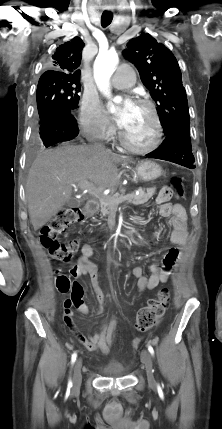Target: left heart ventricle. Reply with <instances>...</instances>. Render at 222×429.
<instances>
[{
    "mask_svg": "<svg viewBox=\"0 0 222 429\" xmlns=\"http://www.w3.org/2000/svg\"><path fill=\"white\" fill-rule=\"evenodd\" d=\"M123 131L134 145L146 146L151 143L154 136V126L148 109L135 103Z\"/></svg>",
    "mask_w": 222,
    "mask_h": 429,
    "instance_id": "1",
    "label": "left heart ventricle"
}]
</instances>
